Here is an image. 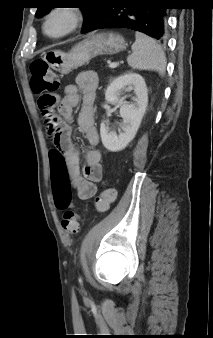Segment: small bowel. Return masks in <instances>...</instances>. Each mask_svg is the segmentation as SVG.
Returning a JSON list of instances; mask_svg holds the SVG:
<instances>
[{
  "label": "small bowel",
  "instance_id": "obj_1",
  "mask_svg": "<svg viewBox=\"0 0 213 338\" xmlns=\"http://www.w3.org/2000/svg\"><path fill=\"white\" fill-rule=\"evenodd\" d=\"M98 87V77L92 71L79 74L75 84L64 88V95L60 100L58 111L61 118L57 126L62 133V141L57 149L50 151V165L53 174L64 173L71 179L76 194L81 200H89L97 192L96 183L102 180L103 171L101 155L93 147L99 141L98 130L94 124L93 102ZM82 95V96H81ZM82 106L77 118L79 130L84 134L90 148L84 153L85 164L80 168V149L72 139L71 123L74 121L73 111L80 103ZM49 135L51 129L47 126ZM64 149L63 155L58 149Z\"/></svg>",
  "mask_w": 213,
  "mask_h": 338
}]
</instances>
